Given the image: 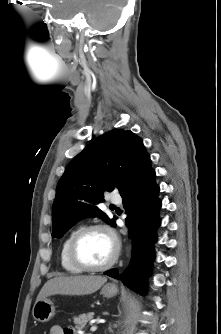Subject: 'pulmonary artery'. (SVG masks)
<instances>
[{
    "label": "pulmonary artery",
    "instance_id": "obj_1",
    "mask_svg": "<svg viewBox=\"0 0 221 334\" xmlns=\"http://www.w3.org/2000/svg\"><path fill=\"white\" fill-rule=\"evenodd\" d=\"M110 201L113 202V203H120L121 202L119 197H110Z\"/></svg>",
    "mask_w": 221,
    "mask_h": 334
}]
</instances>
